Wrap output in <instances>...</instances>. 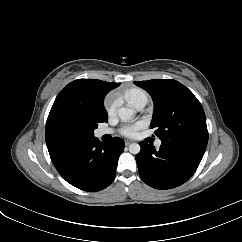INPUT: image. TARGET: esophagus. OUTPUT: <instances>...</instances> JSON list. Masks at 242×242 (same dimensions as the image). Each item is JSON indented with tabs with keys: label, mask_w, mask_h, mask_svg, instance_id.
<instances>
[{
	"label": "esophagus",
	"mask_w": 242,
	"mask_h": 242,
	"mask_svg": "<svg viewBox=\"0 0 242 242\" xmlns=\"http://www.w3.org/2000/svg\"><path fill=\"white\" fill-rule=\"evenodd\" d=\"M131 143H132V141H130V140H125V145H126V146L130 145Z\"/></svg>",
	"instance_id": "esophagus-1"
}]
</instances>
